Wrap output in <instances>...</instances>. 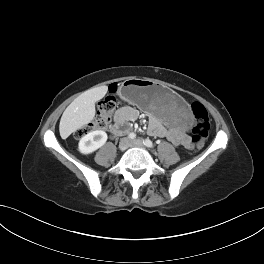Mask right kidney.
Listing matches in <instances>:
<instances>
[{
  "label": "right kidney",
  "instance_id": "obj_1",
  "mask_svg": "<svg viewBox=\"0 0 264 264\" xmlns=\"http://www.w3.org/2000/svg\"><path fill=\"white\" fill-rule=\"evenodd\" d=\"M107 138L106 132L102 130L89 132L80 139L78 150L82 154H90L102 147L106 143Z\"/></svg>",
  "mask_w": 264,
  "mask_h": 264
}]
</instances>
